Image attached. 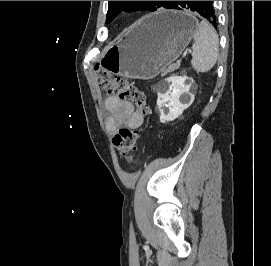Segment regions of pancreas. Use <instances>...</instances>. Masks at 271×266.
<instances>
[{
    "label": "pancreas",
    "instance_id": "cf45deb5",
    "mask_svg": "<svg viewBox=\"0 0 271 266\" xmlns=\"http://www.w3.org/2000/svg\"><path fill=\"white\" fill-rule=\"evenodd\" d=\"M177 64H170L166 69L163 70L162 75H166L168 72H173L178 69Z\"/></svg>",
    "mask_w": 271,
    "mask_h": 266
}]
</instances>
